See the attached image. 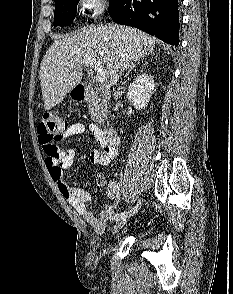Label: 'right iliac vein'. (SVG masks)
Wrapping results in <instances>:
<instances>
[{"mask_svg": "<svg viewBox=\"0 0 233 294\" xmlns=\"http://www.w3.org/2000/svg\"><path fill=\"white\" fill-rule=\"evenodd\" d=\"M130 216L124 217L122 219H118L113 227V234H116L128 221Z\"/></svg>", "mask_w": 233, "mask_h": 294, "instance_id": "1", "label": "right iliac vein"}]
</instances>
